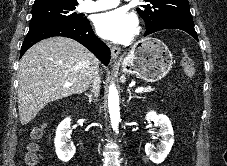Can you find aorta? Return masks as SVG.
<instances>
[{"mask_svg":"<svg viewBox=\"0 0 227 166\" xmlns=\"http://www.w3.org/2000/svg\"><path fill=\"white\" fill-rule=\"evenodd\" d=\"M108 107L111 125L113 129L118 132V125L120 121L119 95L114 84L109 87Z\"/></svg>","mask_w":227,"mask_h":166,"instance_id":"1","label":"aorta"}]
</instances>
